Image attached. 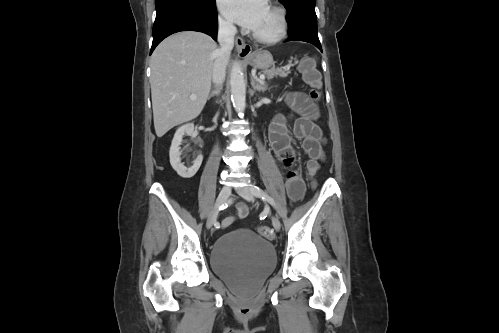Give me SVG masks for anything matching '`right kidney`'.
Here are the masks:
<instances>
[{
	"label": "right kidney",
	"instance_id": "right-kidney-1",
	"mask_svg": "<svg viewBox=\"0 0 499 333\" xmlns=\"http://www.w3.org/2000/svg\"><path fill=\"white\" fill-rule=\"evenodd\" d=\"M193 131H194L193 123H188L179 127L174 135L169 151L171 166L177 172V174L183 178L193 177L199 170L203 161V156L198 155L197 158L193 161V165L190 167H186L184 166L183 163H181L180 145L182 142V138L185 134L191 135Z\"/></svg>",
	"mask_w": 499,
	"mask_h": 333
}]
</instances>
